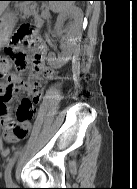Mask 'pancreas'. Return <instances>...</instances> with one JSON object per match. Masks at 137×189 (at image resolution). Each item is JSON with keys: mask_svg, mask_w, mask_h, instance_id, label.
Returning <instances> with one entry per match:
<instances>
[{"mask_svg": "<svg viewBox=\"0 0 137 189\" xmlns=\"http://www.w3.org/2000/svg\"><path fill=\"white\" fill-rule=\"evenodd\" d=\"M28 14V10H24V16L23 18ZM48 16V11L43 12V14L41 16H35V20L36 21H40L41 23H43V21L41 20V18H46Z\"/></svg>", "mask_w": 137, "mask_h": 189, "instance_id": "cf45deb5", "label": "pancreas"}]
</instances>
